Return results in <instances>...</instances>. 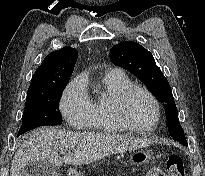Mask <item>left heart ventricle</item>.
Here are the masks:
<instances>
[{
  "label": "left heart ventricle",
  "instance_id": "b2bd125f",
  "mask_svg": "<svg viewBox=\"0 0 205 176\" xmlns=\"http://www.w3.org/2000/svg\"><path fill=\"white\" fill-rule=\"evenodd\" d=\"M127 111L130 119L137 124H151L155 119L154 107L149 98L142 92H136L131 96Z\"/></svg>",
  "mask_w": 205,
  "mask_h": 176
}]
</instances>
